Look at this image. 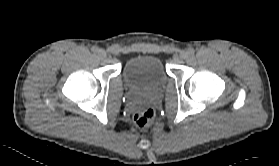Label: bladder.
Masks as SVG:
<instances>
[{"instance_id":"obj_1","label":"bladder","mask_w":279,"mask_h":166,"mask_svg":"<svg viewBox=\"0 0 279 166\" xmlns=\"http://www.w3.org/2000/svg\"><path fill=\"white\" fill-rule=\"evenodd\" d=\"M126 85L137 93L158 92L166 83L167 75L160 59L154 56H137L122 67Z\"/></svg>"}]
</instances>
